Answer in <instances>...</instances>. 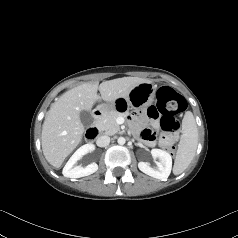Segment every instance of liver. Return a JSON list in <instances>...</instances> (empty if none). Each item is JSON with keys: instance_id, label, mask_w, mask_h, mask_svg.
Wrapping results in <instances>:
<instances>
[{"instance_id": "1", "label": "liver", "mask_w": 238, "mask_h": 238, "mask_svg": "<svg viewBox=\"0 0 238 238\" xmlns=\"http://www.w3.org/2000/svg\"><path fill=\"white\" fill-rule=\"evenodd\" d=\"M148 79L123 77L79 85L65 92L46 113L42 126L41 145L46 160L59 168L65 158L81 142L85 131L80 120L81 111H90L97 100L114 102L127 98L131 90ZM100 91L101 97L97 95Z\"/></svg>"}]
</instances>
